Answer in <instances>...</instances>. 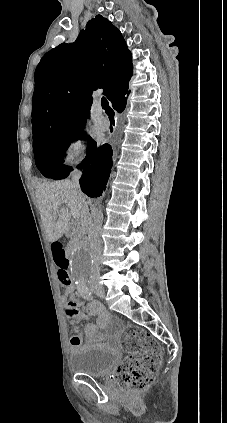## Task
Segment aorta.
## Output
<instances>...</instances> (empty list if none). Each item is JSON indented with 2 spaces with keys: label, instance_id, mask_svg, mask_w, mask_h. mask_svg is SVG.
Returning a JSON list of instances; mask_svg holds the SVG:
<instances>
[{
  "label": "aorta",
  "instance_id": "1",
  "mask_svg": "<svg viewBox=\"0 0 227 423\" xmlns=\"http://www.w3.org/2000/svg\"><path fill=\"white\" fill-rule=\"evenodd\" d=\"M92 269L90 250L87 247L77 249L71 257L70 272L78 285H84Z\"/></svg>",
  "mask_w": 227,
  "mask_h": 423
}]
</instances>
